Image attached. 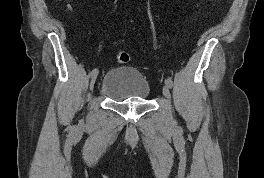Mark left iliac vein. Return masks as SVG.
Returning a JSON list of instances; mask_svg holds the SVG:
<instances>
[{"mask_svg":"<svg viewBox=\"0 0 264 178\" xmlns=\"http://www.w3.org/2000/svg\"><path fill=\"white\" fill-rule=\"evenodd\" d=\"M163 95L164 97L167 99V100H170L171 98V94H170V90H169V87L167 85H165L163 87Z\"/></svg>","mask_w":264,"mask_h":178,"instance_id":"1","label":"left iliac vein"}]
</instances>
